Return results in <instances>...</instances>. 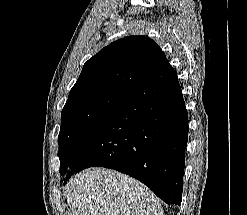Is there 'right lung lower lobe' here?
Wrapping results in <instances>:
<instances>
[{
	"instance_id": "obj_1",
	"label": "right lung lower lobe",
	"mask_w": 247,
	"mask_h": 215,
	"mask_svg": "<svg viewBox=\"0 0 247 215\" xmlns=\"http://www.w3.org/2000/svg\"><path fill=\"white\" fill-rule=\"evenodd\" d=\"M187 141L188 113L177 73L166 60L83 134L65 182L88 167L111 168L143 182L167 204L180 205Z\"/></svg>"
}]
</instances>
